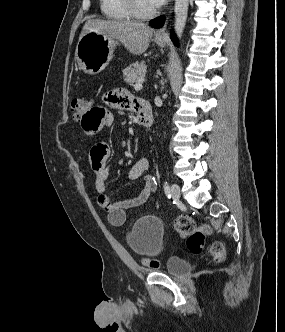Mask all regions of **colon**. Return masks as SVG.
I'll list each match as a JSON object with an SVG mask.
<instances>
[{
	"label": "colon",
	"instance_id": "obj_1",
	"mask_svg": "<svg viewBox=\"0 0 285 332\" xmlns=\"http://www.w3.org/2000/svg\"><path fill=\"white\" fill-rule=\"evenodd\" d=\"M90 106H96L90 98L83 97L75 99L71 104L73 118L78 121V115H83V111H89ZM175 229L185 237L187 248L194 254H199L203 251L205 238L211 232L209 225L203 224L197 226L194 220L187 215H181L176 219ZM210 252L217 261L225 257L224 246L219 241L211 245ZM146 264L149 267L156 268L159 266L160 262L155 259H147Z\"/></svg>",
	"mask_w": 285,
	"mask_h": 332
}]
</instances>
